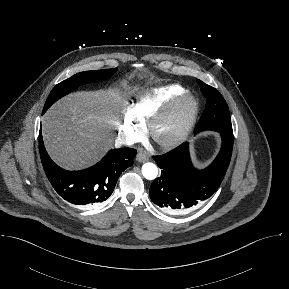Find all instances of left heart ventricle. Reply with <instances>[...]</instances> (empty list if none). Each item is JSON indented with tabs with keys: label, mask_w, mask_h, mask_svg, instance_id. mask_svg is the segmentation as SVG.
<instances>
[{
	"label": "left heart ventricle",
	"mask_w": 289,
	"mask_h": 289,
	"mask_svg": "<svg viewBox=\"0 0 289 289\" xmlns=\"http://www.w3.org/2000/svg\"><path fill=\"white\" fill-rule=\"evenodd\" d=\"M186 112L184 105L175 109L168 117H166L157 127V136L165 139L173 136L180 128Z\"/></svg>",
	"instance_id": "left-heart-ventricle-1"
}]
</instances>
